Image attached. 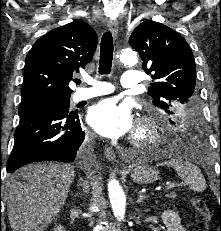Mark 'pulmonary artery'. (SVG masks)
Listing matches in <instances>:
<instances>
[{
	"label": "pulmonary artery",
	"mask_w": 221,
	"mask_h": 231,
	"mask_svg": "<svg viewBox=\"0 0 221 231\" xmlns=\"http://www.w3.org/2000/svg\"><path fill=\"white\" fill-rule=\"evenodd\" d=\"M141 81V76L136 71H125L122 75L121 85L123 88L138 87ZM86 82L91 85L90 88L78 89L73 95L74 102L88 100L96 96L106 95L114 91L111 84L100 82L94 78H86Z\"/></svg>",
	"instance_id": "e3ab8cb5"
}]
</instances>
